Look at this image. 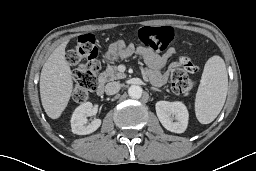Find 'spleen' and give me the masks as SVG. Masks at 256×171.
<instances>
[{
	"label": "spleen",
	"instance_id": "obj_1",
	"mask_svg": "<svg viewBox=\"0 0 256 171\" xmlns=\"http://www.w3.org/2000/svg\"><path fill=\"white\" fill-rule=\"evenodd\" d=\"M228 91V74L224 60L218 56L209 58L195 99V113L201 124L215 120L222 110Z\"/></svg>",
	"mask_w": 256,
	"mask_h": 171
}]
</instances>
